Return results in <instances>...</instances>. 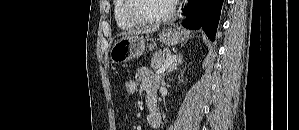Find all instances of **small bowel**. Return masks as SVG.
<instances>
[{"mask_svg": "<svg viewBox=\"0 0 299 130\" xmlns=\"http://www.w3.org/2000/svg\"><path fill=\"white\" fill-rule=\"evenodd\" d=\"M135 77L138 81L139 87L146 92V98L149 94L156 93V85L159 78L150 69L146 67L139 68ZM147 120L153 129H158L161 125V116L158 113H149Z\"/></svg>", "mask_w": 299, "mask_h": 130, "instance_id": "small-bowel-1", "label": "small bowel"}]
</instances>
